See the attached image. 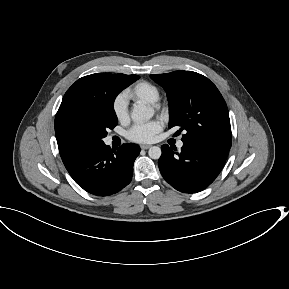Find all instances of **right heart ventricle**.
Instances as JSON below:
<instances>
[{
  "label": "right heart ventricle",
  "instance_id": "e07e8e85",
  "mask_svg": "<svg viewBox=\"0 0 289 289\" xmlns=\"http://www.w3.org/2000/svg\"><path fill=\"white\" fill-rule=\"evenodd\" d=\"M126 99L135 102L154 104L158 101L160 92L156 85L148 81H139L124 93Z\"/></svg>",
  "mask_w": 289,
  "mask_h": 289
}]
</instances>
